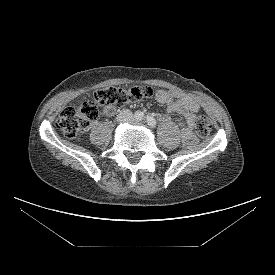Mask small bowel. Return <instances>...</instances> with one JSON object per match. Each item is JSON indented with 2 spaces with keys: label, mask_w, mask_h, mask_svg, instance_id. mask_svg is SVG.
<instances>
[{
  "label": "small bowel",
  "mask_w": 275,
  "mask_h": 275,
  "mask_svg": "<svg viewBox=\"0 0 275 275\" xmlns=\"http://www.w3.org/2000/svg\"><path fill=\"white\" fill-rule=\"evenodd\" d=\"M156 100L167 106V111L173 115L182 116L185 122L181 126V140L186 145L196 142L193 128L196 113L199 105L190 96L176 90H159L156 93ZM106 116L112 117L116 114L117 108L113 104L106 105L103 109Z\"/></svg>",
  "instance_id": "small-bowel-1"
}]
</instances>
